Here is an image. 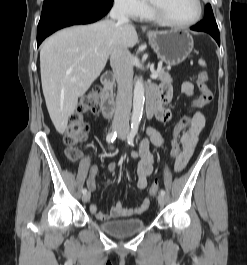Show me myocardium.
Masks as SVG:
<instances>
[{
    "mask_svg": "<svg viewBox=\"0 0 247 265\" xmlns=\"http://www.w3.org/2000/svg\"><path fill=\"white\" fill-rule=\"evenodd\" d=\"M196 2L198 8L196 16L192 20L184 23H178L168 18L163 10L159 6L155 5L151 0H148V9L152 18L158 23L176 29H184L197 24L203 16L204 6L202 0H196Z\"/></svg>",
    "mask_w": 247,
    "mask_h": 265,
    "instance_id": "obj_1",
    "label": "myocardium"
}]
</instances>
